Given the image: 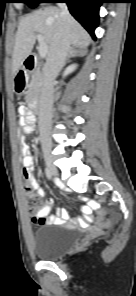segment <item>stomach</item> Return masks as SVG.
Here are the masks:
<instances>
[{"label":"stomach","mask_w":136,"mask_h":296,"mask_svg":"<svg viewBox=\"0 0 136 296\" xmlns=\"http://www.w3.org/2000/svg\"><path fill=\"white\" fill-rule=\"evenodd\" d=\"M23 90H26V85H16V89H11V94H22Z\"/></svg>","instance_id":"0dacf381"}]
</instances>
